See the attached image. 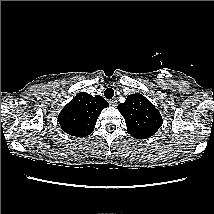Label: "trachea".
<instances>
[{
	"mask_svg": "<svg viewBox=\"0 0 214 214\" xmlns=\"http://www.w3.org/2000/svg\"><path fill=\"white\" fill-rule=\"evenodd\" d=\"M104 96L106 97V99H112V97L114 96V90L112 88H107L104 92Z\"/></svg>",
	"mask_w": 214,
	"mask_h": 214,
	"instance_id": "1",
	"label": "trachea"
}]
</instances>
